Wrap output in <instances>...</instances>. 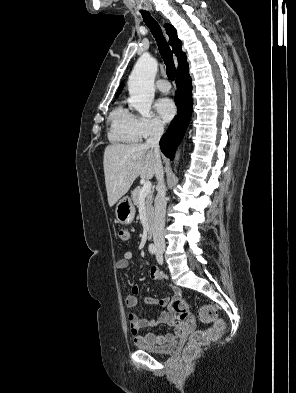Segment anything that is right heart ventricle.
Segmentation results:
<instances>
[{
    "label": "right heart ventricle",
    "instance_id": "right-heart-ventricle-1",
    "mask_svg": "<svg viewBox=\"0 0 296 393\" xmlns=\"http://www.w3.org/2000/svg\"><path fill=\"white\" fill-rule=\"evenodd\" d=\"M112 142L134 144L140 140L136 128V116L124 106H118L110 116L108 133Z\"/></svg>",
    "mask_w": 296,
    "mask_h": 393
}]
</instances>
